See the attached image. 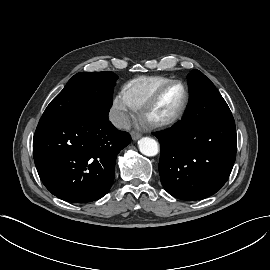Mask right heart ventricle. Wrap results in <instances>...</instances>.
<instances>
[{"label":"right heart ventricle","mask_w":270,"mask_h":270,"mask_svg":"<svg viewBox=\"0 0 270 270\" xmlns=\"http://www.w3.org/2000/svg\"><path fill=\"white\" fill-rule=\"evenodd\" d=\"M171 80L164 76H140L129 80L123 87V92L134 110H140L155 91Z\"/></svg>","instance_id":"obj_1"}]
</instances>
